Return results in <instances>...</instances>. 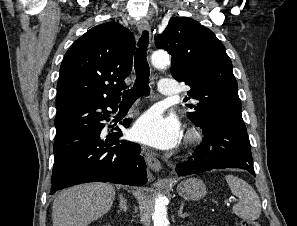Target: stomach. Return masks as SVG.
<instances>
[{
    "label": "stomach",
    "mask_w": 297,
    "mask_h": 226,
    "mask_svg": "<svg viewBox=\"0 0 297 226\" xmlns=\"http://www.w3.org/2000/svg\"><path fill=\"white\" fill-rule=\"evenodd\" d=\"M179 195L191 200H199L206 195L204 182L197 178H189L177 186Z\"/></svg>",
    "instance_id": "1"
}]
</instances>
